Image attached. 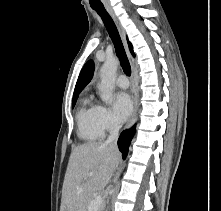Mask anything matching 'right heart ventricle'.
I'll list each match as a JSON object with an SVG mask.
<instances>
[{
  "mask_svg": "<svg viewBox=\"0 0 221 211\" xmlns=\"http://www.w3.org/2000/svg\"><path fill=\"white\" fill-rule=\"evenodd\" d=\"M77 134L86 142H95L102 138L96 124V105L88 97H85L76 114Z\"/></svg>",
  "mask_w": 221,
  "mask_h": 211,
  "instance_id": "right-heart-ventricle-1",
  "label": "right heart ventricle"
}]
</instances>
